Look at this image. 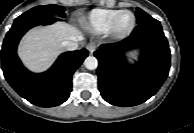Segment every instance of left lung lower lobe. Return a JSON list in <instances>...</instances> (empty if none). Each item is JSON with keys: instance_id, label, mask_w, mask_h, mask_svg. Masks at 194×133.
<instances>
[{"instance_id": "0a47b994", "label": "left lung lower lobe", "mask_w": 194, "mask_h": 133, "mask_svg": "<svg viewBox=\"0 0 194 133\" xmlns=\"http://www.w3.org/2000/svg\"><path fill=\"white\" fill-rule=\"evenodd\" d=\"M142 48L135 66H129L124 52ZM99 61L98 87L102 97L115 106L129 107L152 97L168 76L170 51L161 24L154 18L138 23L124 40L103 44L94 52Z\"/></svg>"}]
</instances>
